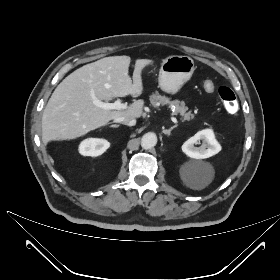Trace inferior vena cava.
<instances>
[{"instance_id":"inferior-vena-cava-1","label":"inferior vena cava","mask_w":280,"mask_h":280,"mask_svg":"<svg viewBox=\"0 0 280 280\" xmlns=\"http://www.w3.org/2000/svg\"><path fill=\"white\" fill-rule=\"evenodd\" d=\"M114 122L121 123L127 126H134L136 124L135 118L120 116L114 119Z\"/></svg>"}]
</instances>
